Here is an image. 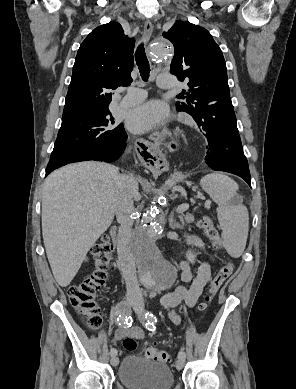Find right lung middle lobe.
Returning a JSON list of instances; mask_svg holds the SVG:
<instances>
[{"label": "right lung middle lobe", "mask_w": 296, "mask_h": 389, "mask_svg": "<svg viewBox=\"0 0 296 389\" xmlns=\"http://www.w3.org/2000/svg\"><path fill=\"white\" fill-rule=\"evenodd\" d=\"M110 111L79 113L62 117L61 128L47 168L73 160L82 152L110 149L123 140L124 128L116 124Z\"/></svg>", "instance_id": "1"}]
</instances>
